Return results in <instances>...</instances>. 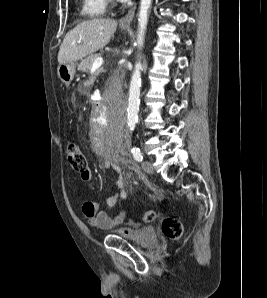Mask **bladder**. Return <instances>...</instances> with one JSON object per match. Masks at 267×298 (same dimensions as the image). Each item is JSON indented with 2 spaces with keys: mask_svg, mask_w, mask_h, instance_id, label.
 <instances>
[{
  "mask_svg": "<svg viewBox=\"0 0 267 298\" xmlns=\"http://www.w3.org/2000/svg\"><path fill=\"white\" fill-rule=\"evenodd\" d=\"M115 235L144 248L152 247L158 241L156 230L151 226L130 229L129 234H123L120 231H116Z\"/></svg>",
  "mask_w": 267,
  "mask_h": 298,
  "instance_id": "bladder-1",
  "label": "bladder"
}]
</instances>
